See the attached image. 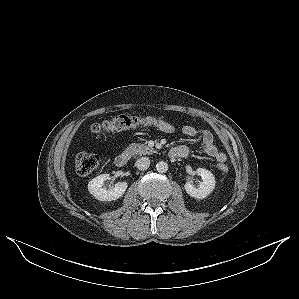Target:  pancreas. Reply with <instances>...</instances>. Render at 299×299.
Returning <instances> with one entry per match:
<instances>
[{"label": "pancreas", "mask_w": 299, "mask_h": 299, "mask_svg": "<svg viewBox=\"0 0 299 299\" xmlns=\"http://www.w3.org/2000/svg\"><path fill=\"white\" fill-rule=\"evenodd\" d=\"M154 149L150 148L148 145L146 144H138V143H132L130 144L126 150L125 153L131 156L134 155H146V154H152L154 153Z\"/></svg>", "instance_id": "1"}]
</instances>
